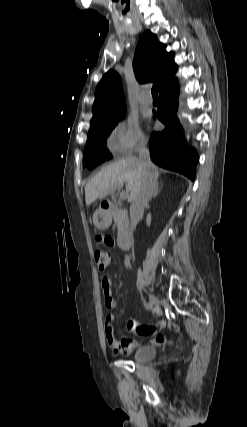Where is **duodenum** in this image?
<instances>
[{
    "instance_id": "obj_1",
    "label": "duodenum",
    "mask_w": 247,
    "mask_h": 427,
    "mask_svg": "<svg viewBox=\"0 0 247 427\" xmlns=\"http://www.w3.org/2000/svg\"><path fill=\"white\" fill-rule=\"evenodd\" d=\"M111 205L109 203H105L102 206L104 211H109ZM118 246L121 250H128L131 247V238L127 234H123L118 238Z\"/></svg>"
}]
</instances>
